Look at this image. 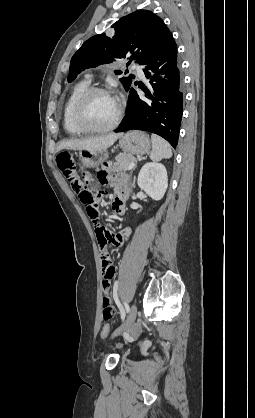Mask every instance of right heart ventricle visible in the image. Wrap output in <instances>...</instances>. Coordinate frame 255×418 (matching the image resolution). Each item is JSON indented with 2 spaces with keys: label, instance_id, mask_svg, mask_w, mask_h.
Here are the masks:
<instances>
[{
  "label": "right heart ventricle",
  "instance_id": "e07e8e85",
  "mask_svg": "<svg viewBox=\"0 0 255 418\" xmlns=\"http://www.w3.org/2000/svg\"><path fill=\"white\" fill-rule=\"evenodd\" d=\"M89 86L90 82L88 80H82L76 83L64 103L62 121L64 130L69 135L78 136L84 133V131L74 123L73 111L77 99L87 88H89Z\"/></svg>",
  "mask_w": 255,
  "mask_h": 418
}]
</instances>
